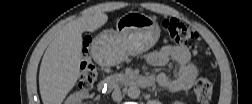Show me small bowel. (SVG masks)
Segmentation results:
<instances>
[{
    "label": "small bowel",
    "instance_id": "small-bowel-1",
    "mask_svg": "<svg viewBox=\"0 0 252 104\" xmlns=\"http://www.w3.org/2000/svg\"><path fill=\"white\" fill-rule=\"evenodd\" d=\"M145 59L150 65L157 67L167 65L170 60L174 61L170 71H162L156 76L157 82L170 92L189 89L198 75L190 51L184 45H165L147 53Z\"/></svg>",
    "mask_w": 252,
    "mask_h": 104
}]
</instances>
